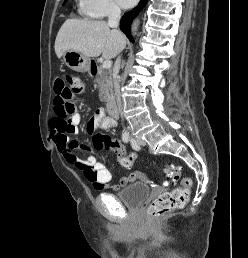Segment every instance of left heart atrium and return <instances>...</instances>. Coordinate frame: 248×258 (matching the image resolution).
<instances>
[{"label":"left heart atrium","instance_id":"obj_1","mask_svg":"<svg viewBox=\"0 0 248 258\" xmlns=\"http://www.w3.org/2000/svg\"><path fill=\"white\" fill-rule=\"evenodd\" d=\"M123 8H129L136 4L138 0H117Z\"/></svg>","mask_w":248,"mask_h":258}]
</instances>
